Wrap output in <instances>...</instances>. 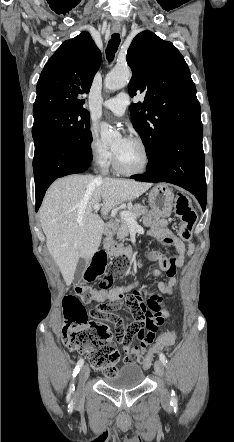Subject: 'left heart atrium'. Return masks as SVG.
Listing matches in <instances>:
<instances>
[{"mask_svg": "<svg viewBox=\"0 0 234 442\" xmlns=\"http://www.w3.org/2000/svg\"><path fill=\"white\" fill-rule=\"evenodd\" d=\"M124 141H127L128 139H123Z\"/></svg>", "mask_w": 234, "mask_h": 442, "instance_id": "left-heart-atrium-1", "label": "left heart atrium"}]
</instances>
